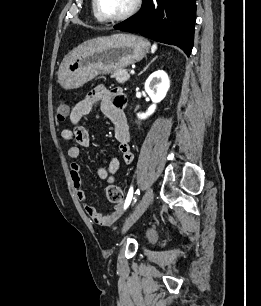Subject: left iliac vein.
Wrapping results in <instances>:
<instances>
[{
	"label": "left iliac vein",
	"mask_w": 261,
	"mask_h": 306,
	"mask_svg": "<svg viewBox=\"0 0 261 306\" xmlns=\"http://www.w3.org/2000/svg\"><path fill=\"white\" fill-rule=\"evenodd\" d=\"M153 199V189L148 188L133 213L126 219L122 232L125 233L145 212Z\"/></svg>",
	"instance_id": "obj_1"
}]
</instances>
